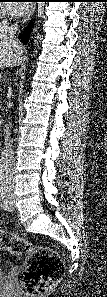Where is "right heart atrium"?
Here are the masks:
<instances>
[{"instance_id": "right-heart-atrium-1", "label": "right heart atrium", "mask_w": 107, "mask_h": 297, "mask_svg": "<svg viewBox=\"0 0 107 297\" xmlns=\"http://www.w3.org/2000/svg\"><path fill=\"white\" fill-rule=\"evenodd\" d=\"M5 17L4 13L1 12V19H3Z\"/></svg>"}]
</instances>
